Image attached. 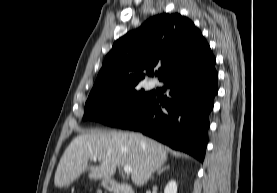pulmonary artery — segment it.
Here are the masks:
<instances>
[{"instance_id":"1","label":"pulmonary artery","mask_w":277,"mask_h":193,"mask_svg":"<svg viewBox=\"0 0 277 193\" xmlns=\"http://www.w3.org/2000/svg\"><path fill=\"white\" fill-rule=\"evenodd\" d=\"M154 88H155V83L153 81L147 82V84H146V89L147 90H152Z\"/></svg>"}]
</instances>
